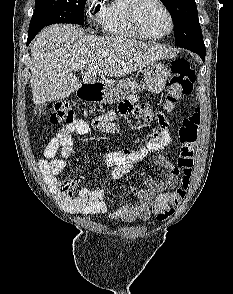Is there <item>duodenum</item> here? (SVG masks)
I'll return each mask as SVG.
<instances>
[{
	"instance_id": "duodenum-1",
	"label": "duodenum",
	"mask_w": 233,
	"mask_h": 294,
	"mask_svg": "<svg viewBox=\"0 0 233 294\" xmlns=\"http://www.w3.org/2000/svg\"><path fill=\"white\" fill-rule=\"evenodd\" d=\"M102 92V86L100 84L83 85L77 91V96L81 100H93L99 97Z\"/></svg>"
}]
</instances>
